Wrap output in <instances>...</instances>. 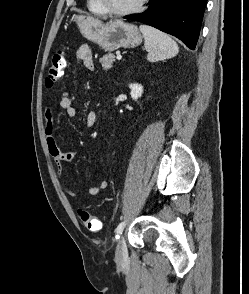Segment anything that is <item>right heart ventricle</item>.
<instances>
[{
	"label": "right heart ventricle",
	"mask_w": 249,
	"mask_h": 294,
	"mask_svg": "<svg viewBox=\"0 0 249 294\" xmlns=\"http://www.w3.org/2000/svg\"><path fill=\"white\" fill-rule=\"evenodd\" d=\"M88 9L93 12L94 14L102 15L104 11L98 5L96 0H87Z\"/></svg>",
	"instance_id": "1"
}]
</instances>
